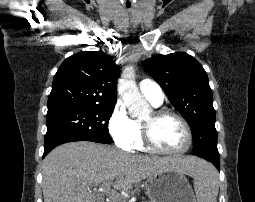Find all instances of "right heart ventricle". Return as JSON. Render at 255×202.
Segmentation results:
<instances>
[{"label":"right heart ventricle","mask_w":255,"mask_h":202,"mask_svg":"<svg viewBox=\"0 0 255 202\" xmlns=\"http://www.w3.org/2000/svg\"><path fill=\"white\" fill-rule=\"evenodd\" d=\"M134 126H135V141L133 148L137 150H146V146L143 142V137H142V123L139 120L134 121Z\"/></svg>","instance_id":"1"}]
</instances>
